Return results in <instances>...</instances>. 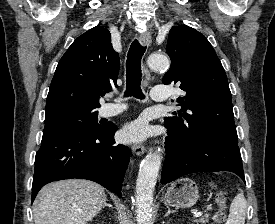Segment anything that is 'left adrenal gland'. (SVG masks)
I'll return each instance as SVG.
<instances>
[{
	"label": "left adrenal gland",
	"mask_w": 275,
	"mask_h": 224,
	"mask_svg": "<svg viewBox=\"0 0 275 224\" xmlns=\"http://www.w3.org/2000/svg\"><path fill=\"white\" fill-rule=\"evenodd\" d=\"M167 213L165 214V217H167L168 215H170L171 213H174L175 211H172L169 207H167Z\"/></svg>",
	"instance_id": "left-adrenal-gland-1"
}]
</instances>
